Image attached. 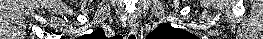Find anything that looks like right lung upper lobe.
Masks as SVG:
<instances>
[{
	"label": "right lung upper lobe",
	"instance_id": "1",
	"mask_svg": "<svg viewBox=\"0 0 263 39\" xmlns=\"http://www.w3.org/2000/svg\"><path fill=\"white\" fill-rule=\"evenodd\" d=\"M102 32H104L102 29H97L89 35V38H95V36L102 34Z\"/></svg>",
	"mask_w": 263,
	"mask_h": 39
}]
</instances>
